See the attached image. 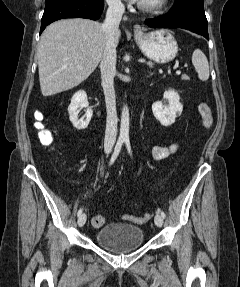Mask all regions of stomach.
<instances>
[{
    "mask_svg": "<svg viewBox=\"0 0 240 287\" xmlns=\"http://www.w3.org/2000/svg\"><path fill=\"white\" fill-rule=\"evenodd\" d=\"M134 37L141 52L154 62H170L178 53L177 42L168 29L136 32Z\"/></svg>",
    "mask_w": 240,
    "mask_h": 287,
    "instance_id": "0dacf381",
    "label": "stomach"
}]
</instances>
